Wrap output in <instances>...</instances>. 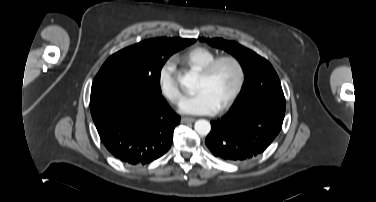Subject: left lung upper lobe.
<instances>
[{
	"label": "left lung upper lobe",
	"mask_w": 376,
	"mask_h": 202,
	"mask_svg": "<svg viewBox=\"0 0 376 202\" xmlns=\"http://www.w3.org/2000/svg\"><path fill=\"white\" fill-rule=\"evenodd\" d=\"M200 41L231 53L243 68L245 82L241 91L242 96L232 110H241L256 103H263L285 111L286 104L281 83L274 68L266 59L235 41L222 38H200Z\"/></svg>",
	"instance_id": "1"
}]
</instances>
